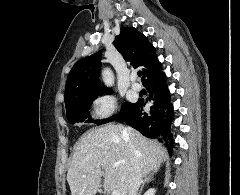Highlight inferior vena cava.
<instances>
[{
    "instance_id": "602c4592",
    "label": "inferior vena cava",
    "mask_w": 240,
    "mask_h": 195,
    "mask_svg": "<svg viewBox=\"0 0 240 195\" xmlns=\"http://www.w3.org/2000/svg\"><path fill=\"white\" fill-rule=\"evenodd\" d=\"M122 133H123V135H127V133H128L127 129H123ZM130 153L132 155L131 161H133L135 169H134V171H131V173H130L131 179L129 181L128 195H137V191H138L143 179H142V173H141V169H140V163H139L138 159H136L137 151H136L134 145H132V147L130 149Z\"/></svg>"
}]
</instances>
